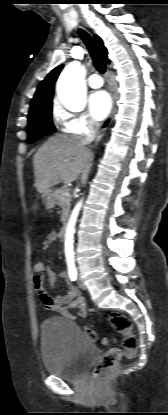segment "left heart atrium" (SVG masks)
Here are the masks:
<instances>
[{
	"instance_id": "1",
	"label": "left heart atrium",
	"mask_w": 168,
	"mask_h": 415,
	"mask_svg": "<svg viewBox=\"0 0 168 415\" xmlns=\"http://www.w3.org/2000/svg\"><path fill=\"white\" fill-rule=\"evenodd\" d=\"M89 111L96 121H102L110 113L112 102L105 91H96L89 97Z\"/></svg>"
}]
</instances>
